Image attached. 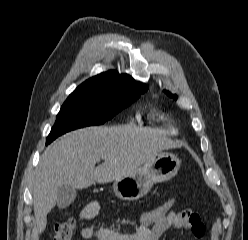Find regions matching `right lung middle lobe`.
<instances>
[{"label": "right lung middle lobe", "mask_w": 248, "mask_h": 240, "mask_svg": "<svg viewBox=\"0 0 248 240\" xmlns=\"http://www.w3.org/2000/svg\"><path fill=\"white\" fill-rule=\"evenodd\" d=\"M147 89L145 84L129 81L115 88L74 91L62 105L46 144L68 131L103 124Z\"/></svg>", "instance_id": "right-lung-middle-lobe-1"}]
</instances>
